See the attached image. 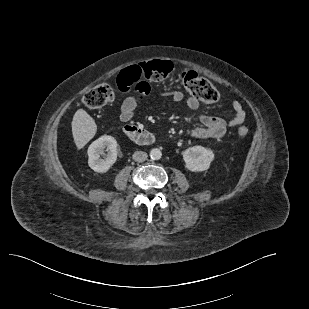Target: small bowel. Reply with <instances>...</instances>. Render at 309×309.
Segmentation results:
<instances>
[{
    "mask_svg": "<svg viewBox=\"0 0 309 309\" xmlns=\"http://www.w3.org/2000/svg\"><path fill=\"white\" fill-rule=\"evenodd\" d=\"M117 84L122 91H129L132 87L136 90L135 96L125 98L120 107V119L123 122H129L133 119L139 104L148 98L151 88L148 83L135 87L129 79L122 76V72L118 75ZM161 96L169 98L174 103H182L185 109L195 110L199 107V101L195 97L184 99V95L179 90L163 91ZM234 116L230 120H225L218 116L201 115L199 117L201 126L191 130V136L199 139L221 138L227 131L228 127H234L242 124L245 120V111L241 103L237 100L232 101Z\"/></svg>",
    "mask_w": 309,
    "mask_h": 309,
    "instance_id": "small-bowel-1",
    "label": "small bowel"
}]
</instances>
